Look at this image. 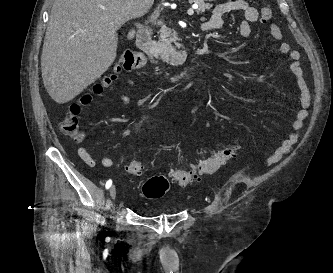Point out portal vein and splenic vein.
<instances>
[{
	"mask_svg": "<svg viewBox=\"0 0 333 273\" xmlns=\"http://www.w3.org/2000/svg\"><path fill=\"white\" fill-rule=\"evenodd\" d=\"M197 8H198L197 5H193L192 8L188 9L187 14L190 15V16L193 15L194 14V9H197ZM161 24H163V23L161 21H159L158 25H161Z\"/></svg>",
	"mask_w": 333,
	"mask_h": 273,
	"instance_id": "portal-vein-and-splenic-vein-1",
	"label": "portal vein and splenic vein"
}]
</instances>
